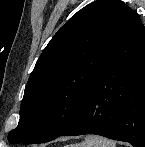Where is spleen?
I'll list each match as a JSON object with an SVG mask.
<instances>
[{
	"label": "spleen",
	"instance_id": "3e777b00",
	"mask_svg": "<svg viewBox=\"0 0 145 147\" xmlns=\"http://www.w3.org/2000/svg\"><path fill=\"white\" fill-rule=\"evenodd\" d=\"M71 147H116L114 141L100 137V136H87L85 140Z\"/></svg>",
	"mask_w": 145,
	"mask_h": 147
}]
</instances>
